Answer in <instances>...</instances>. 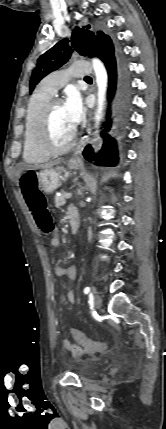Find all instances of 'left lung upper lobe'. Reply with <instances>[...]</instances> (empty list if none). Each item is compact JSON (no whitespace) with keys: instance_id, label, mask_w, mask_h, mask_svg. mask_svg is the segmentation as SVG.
Masks as SVG:
<instances>
[{"instance_id":"left-lung-upper-lobe-1","label":"left lung upper lobe","mask_w":166,"mask_h":429,"mask_svg":"<svg viewBox=\"0 0 166 429\" xmlns=\"http://www.w3.org/2000/svg\"><path fill=\"white\" fill-rule=\"evenodd\" d=\"M98 43L107 45L112 43V39L103 31H91L90 25L82 28L76 27L70 40L67 38L61 40L39 57L30 78V91L43 77L63 66L70 59L74 50L81 55L95 56V48Z\"/></svg>"}]
</instances>
